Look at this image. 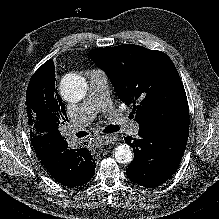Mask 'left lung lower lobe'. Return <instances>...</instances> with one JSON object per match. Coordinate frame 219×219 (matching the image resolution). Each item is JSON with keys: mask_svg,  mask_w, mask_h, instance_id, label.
Returning a JSON list of instances; mask_svg holds the SVG:
<instances>
[{"mask_svg": "<svg viewBox=\"0 0 219 219\" xmlns=\"http://www.w3.org/2000/svg\"><path fill=\"white\" fill-rule=\"evenodd\" d=\"M124 140L134 150V160L126 174L133 182L147 188L161 185L175 173L187 144L141 132L138 139L127 136Z\"/></svg>", "mask_w": 219, "mask_h": 219, "instance_id": "0a47b994", "label": "left lung lower lobe"}]
</instances>
